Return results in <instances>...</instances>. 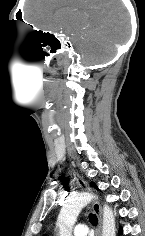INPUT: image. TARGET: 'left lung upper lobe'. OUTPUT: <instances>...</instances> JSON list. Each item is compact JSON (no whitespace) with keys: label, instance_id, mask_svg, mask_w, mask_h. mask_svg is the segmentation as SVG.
<instances>
[{"label":"left lung upper lobe","instance_id":"left-lung-upper-lobe-1","mask_svg":"<svg viewBox=\"0 0 145 236\" xmlns=\"http://www.w3.org/2000/svg\"><path fill=\"white\" fill-rule=\"evenodd\" d=\"M92 185H93L95 188H97L96 185H95L94 183H92ZM97 189H98V188H97Z\"/></svg>","mask_w":145,"mask_h":236}]
</instances>
